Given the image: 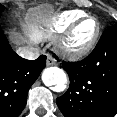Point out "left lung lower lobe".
I'll return each instance as SVG.
<instances>
[{"instance_id": "0a47b994", "label": "left lung lower lobe", "mask_w": 117, "mask_h": 117, "mask_svg": "<svg viewBox=\"0 0 117 117\" xmlns=\"http://www.w3.org/2000/svg\"><path fill=\"white\" fill-rule=\"evenodd\" d=\"M70 85L57 98L65 117H114L117 114V24L107 29L82 61L63 62Z\"/></svg>"}]
</instances>
